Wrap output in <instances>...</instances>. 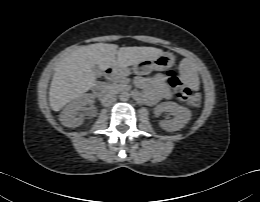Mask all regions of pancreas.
<instances>
[{
	"label": "pancreas",
	"mask_w": 260,
	"mask_h": 202,
	"mask_svg": "<svg viewBox=\"0 0 260 202\" xmlns=\"http://www.w3.org/2000/svg\"><path fill=\"white\" fill-rule=\"evenodd\" d=\"M122 86V82L120 83H112V84H104V88L107 91H117Z\"/></svg>",
	"instance_id": "pancreas-1"
}]
</instances>
